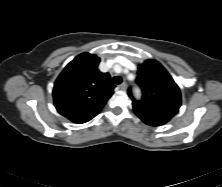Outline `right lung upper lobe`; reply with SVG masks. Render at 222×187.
<instances>
[{
    "label": "right lung upper lobe",
    "instance_id": "1",
    "mask_svg": "<svg viewBox=\"0 0 222 187\" xmlns=\"http://www.w3.org/2000/svg\"><path fill=\"white\" fill-rule=\"evenodd\" d=\"M100 58L82 53L57 78L53 97L58 112L74 123L95 117L111 97L114 85L108 73L98 69Z\"/></svg>",
    "mask_w": 222,
    "mask_h": 187
}]
</instances>
